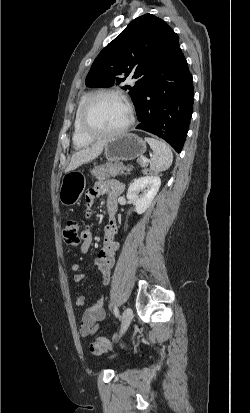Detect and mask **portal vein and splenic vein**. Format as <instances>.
I'll return each instance as SVG.
<instances>
[{
  "label": "portal vein and splenic vein",
  "mask_w": 250,
  "mask_h": 413,
  "mask_svg": "<svg viewBox=\"0 0 250 413\" xmlns=\"http://www.w3.org/2000/svg\"><path fill=\"white\" fill-rule=\"evenodd\" d=\"M148 160L147 158H143V162L146 163Z\"/></svg>",
  "instance_id": "obj_1"
}]
</instances>
